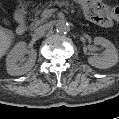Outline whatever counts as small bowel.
Wrapping results in <instances>:
<instances>
[{
  "label": "small bowel",
  "instance_id": "obj_1",
  "mask_svg": "<svg viewBox=\"0 0 119 119\" xmlns=\"http://www.w3.org/2000/svg\"><path fill=\"white\" fill-rule=\"evenodd\" d=\"M78 6L88 20L103 28L112 27L119 19V7L102 1L81 0Z\"/></svg>",
  "mask_w": 119,
  "mask_h": 119
}]
</instances>
